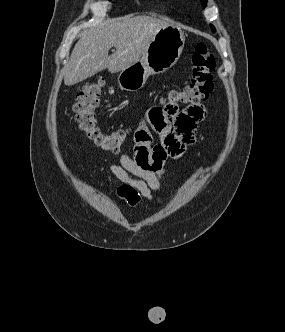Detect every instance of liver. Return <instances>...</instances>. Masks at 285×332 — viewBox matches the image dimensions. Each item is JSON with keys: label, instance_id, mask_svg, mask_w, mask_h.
<instances>
[{"label": "liver", "instance_id": "liver-1", "mask_svg": "<svg viewBox=\"0 0 285 332\" xmlns=\"http://www.w3.org/2000/svg\"><path fill=\"white\" fill-rule=\"evenodd\" d=\"M170 22L149 17H122L93 25L82 34L71 53L64 84L72 86L96 73L125 70L140 61L153 37ZM115 47L111 56L109 50Z\"/></svg>", "mask_w": 285, "mask_h": 332}]
</instances>
